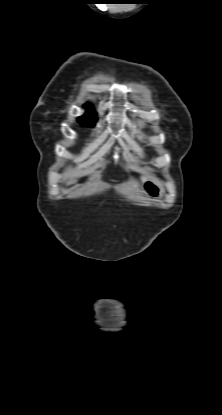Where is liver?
<instances>
[{
	"instance_id": "6515ba94",
	"label": "liver",
	"mask_w": 222,
	"mask_h": 415,
	"mask_svg": "<svg viewBox=\"0 0 222 415\" xmlns=\"http://www.w3.org/2000/svg\"><path fill=\"white\" fill-rule=\"evenodd\" d=\"M142 180H145V178H144V177H142ZM71 183H73V181L68 182V184H71Z\"/></svg>"
}]
</instances>
